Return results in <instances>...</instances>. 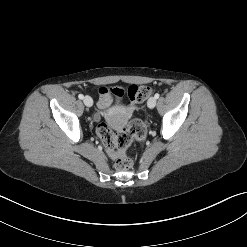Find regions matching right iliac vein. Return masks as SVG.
I'll return each instance as SVG.
<instances>
[{
  "label": "right iliac vein",
  "instance_id": "1",
  "mask_svg": "<svg viewBox=\"0 0 247 247\" xmlns=\"http://www.w3.org/2000/svg\"><path fill=\"white\" fill-rule=\"evenodd\" d=\"M83 102L87 107H91L93 105V100L90 96H85L83 98Z\"/></svg>",
  "mask_w": 247,
  "mask_h": 247
}]
</instances>
